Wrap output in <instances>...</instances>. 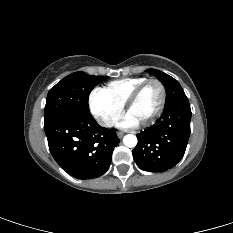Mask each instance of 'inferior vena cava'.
<instances>
[{"mask_svg":"<svg viewBox=\"0 0 233 233\" xmlns=\"http://www.w3.org/2000/svg\"><path fill=\"white\" fill-rule=\"evenodd\" d=\"M101 125H103L105 127H112L114 125V122L110 119H102Z\"/></svg>","mask_w":233,"mask_h":233,"instance_id":"602c4592","label":"inferior vena cava"}]
</instances>
